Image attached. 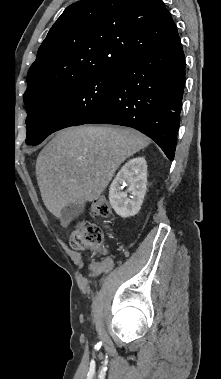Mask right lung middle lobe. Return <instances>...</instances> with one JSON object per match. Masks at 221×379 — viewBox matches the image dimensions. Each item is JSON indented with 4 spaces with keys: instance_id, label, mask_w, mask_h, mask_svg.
Returning a JSON list of instances; mask_svg holds the SVG:
<instances>
[{
    "instance_id": "right-lung-middle-lobe-1",
    "label": "right lung middle lobe",
    "mask_w": 221,
    "mask_h": 379,
    "mask_svg": "<svg viewBox=\"0 0 221 379\" xmlns=\"http://www.w3.org/2000/svg\"><path fill=\"white\" fill-rule=\"evenodd\" d=\"M118 69L77 78L58 85L25 103L28 145L51 133L85 124L111 99Z\"/></svg>"
}]
</instances>
